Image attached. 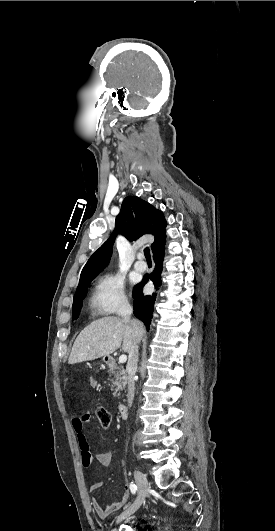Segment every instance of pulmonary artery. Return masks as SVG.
Wrapping results in <instances>:
<instances>
[{"label":"pulmonary artery","mask_w":275,"mask_h":531,"mask_svg":"<svg viewBox=\"0 0 275 531\" xmlns=\"http://www.w3.org/2000/svg\"><path fill=\"white\" fill-rule=\"evenodd\" d=\"M137 257H138V261H136L134 263V269L137 270V271L143 272V271H145L147 269V264L143 260L144 259V252H143L142 249L139 250V252L137 254Z\"/></svg>","instance_id":"obj_1"}]
</instances>
